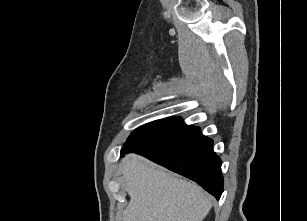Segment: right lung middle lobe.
<instances>
[{
	"instance_id": "1",
	"label": "right lung middle lobe",
	"mask_w": 307,
	"mask_h": 221,
	"mask_svg": "<svg viewBox=\"0 0 307 221\" xmlns=\"http://www.w3.org/2000/svg\"><path fill=\"white\" fill-rule=\"evenodd\" d=\"M194 126L186 125L181 118H167L147 123L131 133L121 155L131 150L144 149L174 139Z\"/></svg>"
}]
</instances>
